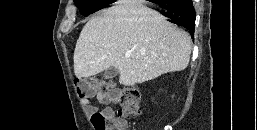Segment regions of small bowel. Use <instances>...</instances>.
Wrapping results in <instances>:
<instances>
[{
  "instance_id": "obj_1",
  "label": "small bowel",
  "mask_w": 257,
  "mask_h": 130,
  "mask_svg": "<svg viewBox=\"0 0 257 130\" xmlns=\"http://www.w3.org/2000/svg\"><path fill=\"white\" fill-rule=\"evenodd\" d=\"M94 95L102 103H108V102H111L113 100L112 97H110L108 95L101 94V93H96ZM93 96H91V97H93ZM91 97L81 98V104L85 107V110L88 114H93L94 112H97V108L90 103V98ZM102 112L106 113V114H109V113H112V110H111V108H105Z\"/></svg>"
}]
</instances>
